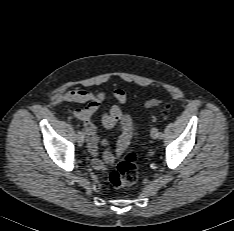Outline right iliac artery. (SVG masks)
Here are the masks:
<instances>
[{"label": "right iliac artery", "instance_id": "obj_1", "mask_svg": "<svg viewBox=\"0 0 234 231\" xmlns=\"http://www.w3.org/2000/svg\"><path fill=\"white\" fill-rule=\"evenodd\" d=\"M77 136L84 138V133L82 131L78 130Z\"/></svg>", "mask_w": 234, "mask_h": 231}]
</instances>
